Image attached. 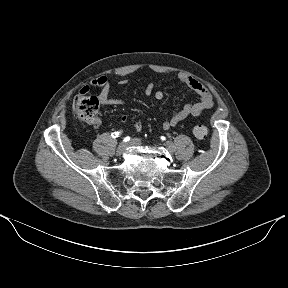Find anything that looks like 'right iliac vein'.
Listing matches in <instances>:
<instances>
[{
    "label": "right iliac vein",
    "mask_w": 288,
    "mask_h": 288,
    "mask_svg": "<svg viewBox=\"0 0 288 288\" xmlns=\"http://www.w3.org/2000/svg\"><path fill=\"white\" fill-rule=\"evenodd\" d=\"M127 145L126 143H121L118 145L117 149H116V153L121 155L125 152L126 148H127Z\"/></svg>",
    "instance_id": "obj_1"
}]
</instances>
